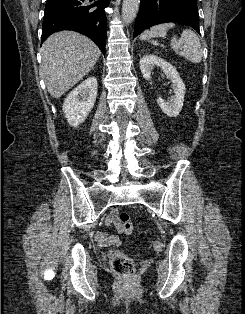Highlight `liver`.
I'll use <instances>...</instances> for the list:
<instances>
[{"label":"liver","instance_id":"1","mask_svg":"<svg viewBox=\"0 0 245 314\" xmlns=\"http://www.w3.org/2000/svg\"><path fill=\"white\" fill-rule=\"evenodd\" d=\"M101 51L88 37L74 31L52 34L41 48L40 73L53 98H60L93 68Z\"/></svg>","mask_w":245,"mask_h":314}]
</instances>
